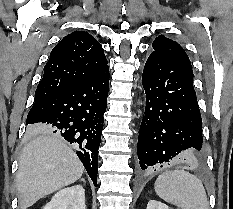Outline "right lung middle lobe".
I'll use <instances>...</instances> for the list:
<instances>
[{"mask_svg": "<svg viewBox=\"0 0 233 209\" xmlns=\"http://www.w3.org/2000/svg\"><path fill=\"white\" fill-rule=\"evenodd\" d=\"M47 131H51V129L50 128H48V127H44Z\"/></svg>", "mask_w": 233, "mask_h": 209, "instance_id": "right-lung-middle-lobe-1", "label": "right lung middle lobe"}]
</instances>
